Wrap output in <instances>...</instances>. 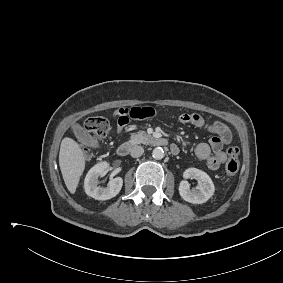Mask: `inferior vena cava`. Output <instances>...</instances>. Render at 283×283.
<instances>
[{
	"label": "inferior vena cava",
	"instance_id": "inferior-vena-cava-1",
	"mask_svg": "<svg viewBox=\"0 0 283 283\" xmlns=\"http://www.w3.org/2000/svg\"><path fill=\"white\" fill-rule=\"evenodd\" d=\"M144 153V149L141 146H134L132 147V149L130 150V155L133 158H138L140 157L142 154Z\"/></svg>",
	"mask_w": 283,
	"mask_h": 283
}]
</instances>
